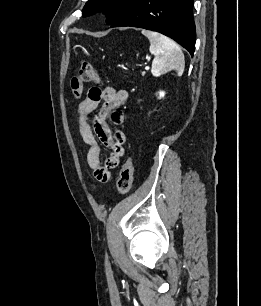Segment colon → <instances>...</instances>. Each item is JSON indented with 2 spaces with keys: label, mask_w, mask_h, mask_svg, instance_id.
<instances>
[{
  "label": "colon",
  "mask_w": 261,
  "mask_h": 306,
  "mask_svg": "<svg viewBox=\"0 0 261 306\" xmlns=\"http://www.w3.org/2000/svg\"><path fill=\"white\" fill-rule=\"evenodd\" d=\"M100 80L98 70L88 61H83L77 73L70 80V90L74 98L82 94L83 84L98 83ZM133 181V164L128 158L123 164L117 181V189L121 194H126Z\"/></svg>",
  "instance_id": "obj_1"
}]
</instances>
